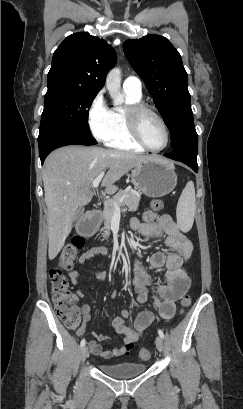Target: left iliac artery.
I'll return each instance as SVG.
<instances>
[{
	"mask_svg": "<svg viewBox=\"0 0 243 409\" xmlns=\"http://www.w3.org/2000/svg\"><path fill=\"white\" fill-rule=\"evenodd\" d=\"M158 334H159V336L161 337V338H163L164 339V333H163V331L162 330H158Z\"/></svg>",
	"mask_w": 243,
	"mask_h": 409,
	"instance_id": "obj_1",
	"label": "left iliac artery"
}]
</instances>
